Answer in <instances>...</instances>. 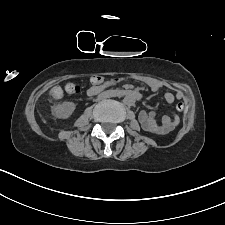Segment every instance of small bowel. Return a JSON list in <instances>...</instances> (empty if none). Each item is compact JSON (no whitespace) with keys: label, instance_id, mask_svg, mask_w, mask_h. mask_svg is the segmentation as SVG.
Segmentation results:
<instances>
[{"label":"small bowel","instance_id":"obj_1","mask_svg":"<svg viewBox=\"0 0 225 225\" xmlns=\"http://www.w3.org/2000/svg\"><path fill=\"white\" fill-rule=\"evenodd\" d=\"M148 85L152 91H158L162 88V85L156 81H152ZM97 90L98 87L94 86L90 88L89 93L93 94ZM176 97L181 98V93L177 92L175 96L170 91L165 92V100L169 104H172ZM139 121L146 131L158 135H164L171 132L179 124V118L175 114L163 115L161 122H158L156 118V113L152 111H141L139 113Z\"/></svg>","mask_w":225,"mask_h":225}]
</instances>
